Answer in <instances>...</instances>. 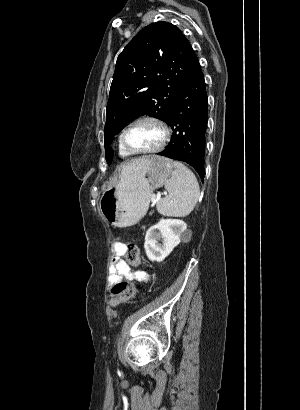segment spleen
<instances>
[{
	"label": "spleen",
	"instance_id": "1",
	"mask_svg": "<svg viewBox=\"0 0 300 410\" xmlns=\"http://www.w3.org/2000/svg\"><path fill=\"white\" fill-rule=\"evenodd\" d=\"M173 167L172 177L165 183L168 195L157 203V210L163 215L186 216L198 202L199 184L184 164L174 161Z\"/></svg>",
	"mask_w": 300,
	"mask_h": 410
}]
</instances>
